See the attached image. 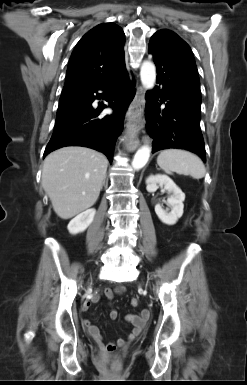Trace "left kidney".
I'll return each mask as SVG.
<instances>
[{
	"label": "left kidney",
	"mask_w": 247,
	"mask_h": 385,
	"mask_svg": "<svg viewBox=\"0 0 247 385\" xmlns=\"http://www.w3.org/2000/svg\"><path fill=\"white\" fill-rule=\"evenodd\" d=\"M146 189L148 192H155L159 186L171 194L167 199V204L170 206L171 211L167 212L162 208L160 204L155 206V212L158 218L167 225H174L178 219L183 215V201L185 200V194L182 190L173 182L171 178L166 175H150L146 179Z\"/></svg>",
	"instance_id": "1"
}]
</instances>
